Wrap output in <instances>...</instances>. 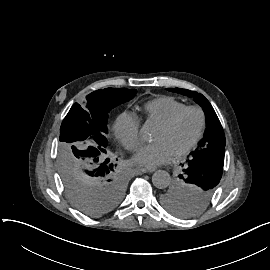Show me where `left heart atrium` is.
<instances>
[{
    "label": "left heart atrium",
    "instance_id": "1",
    "mask_svg": "<svg viewBox=\"0 0 270 270\" xmlns=\"http://www.w3.org/2000/svg\"><path fill=\"white\" fill-rule=\"evenodd\" d=\"M176 155V150L167 141H157L143 146L133 160L145 169H154L169 163Z\"/></svg>",
    "mask_w": 270,
    "mask_h": 270
}]
</instances>
